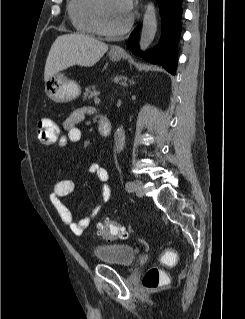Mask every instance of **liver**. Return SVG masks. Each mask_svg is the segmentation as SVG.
<instances>
[{
    "label": "liver",
    "instance_id": "obj_1",
    "mask_svg": "<svg viewBox=\"0 0 245 319\" xmlns=\"http://www.w3.org/2000/svg\"><path fill=\"white\" fill-rule=\"evenodd\" d=\"M108 45L85 34L71 33L57 37L49 51L44 80L59 71L78 65L91 67L107 52Z\"/></svg>",
    "mask_w": 245,
    "mask_h": 319
}]
</instances>
